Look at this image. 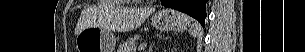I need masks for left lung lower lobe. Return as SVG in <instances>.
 Wrapping results in <instances>:
<instances>
[{
  "label": "left lung lower lobe",
  "mask_w": 305,
  "mask_h": 52,
  "mask_svg": "<svg viewBox=\"0 0 305 52\" xmlns=\"http://www.w3.org/2000/svg\"><path fill=\"white\" fill-rule=\"evenodd\" d=\"M208 0H161L165 7L184 12L195 18L204 27L206 18V3Z\"/></svg>",
  "instance_id": "1"
}]
</instances>
